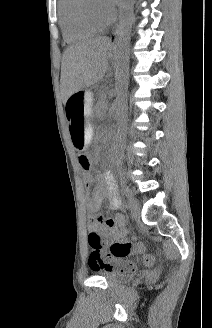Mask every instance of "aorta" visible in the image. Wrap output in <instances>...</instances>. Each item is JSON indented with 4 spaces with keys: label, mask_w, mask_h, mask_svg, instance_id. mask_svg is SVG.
Returning <instances> with one entry per match:
<instances>
[{
    "label": "aorta",
    "mask_w": 212,
    "mask_h": 328,
    "mask_svg": "<svg viewBox=\"0 0 212 328\" xmlns=\"http://www.w3.org/2000/svg\"><path fill=\"white\" fill-rule=\"evenodd\" d=\"M134 0H121L120 21L117 29V60H116V120H117V141L121 144L125 139V128L127 121V87L129 57L128 48L133 22ZM114 176H121L119 168L114 169Z\"/></svg>",
    "instance_id": "aorta-1"
}]
</instances>
